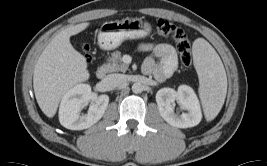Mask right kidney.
I'll use <instances>...</instances> for the list:
<instances>
[{"mask_svg":"<svg viewBox=\"0 0 267 166\" xmlns=\"http://www.w3.org/2000/svg\"><path fill=\"white\" fill-rule=\"evenodd\" d=\"M91 101L87 114H80L82 108ZM109 103L107 95L98 96L88 84H78L68 90L61 101L59 121L71 130H83L98 122Z\"/></svg>","mask_w":267,"mask_h":166,"instance_id":"1","label":"right kidney"}]
</instances>
